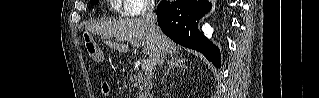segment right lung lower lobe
Instances as JSON below:
<instances>
[{"label": "right lung lower lobe", "instance_id": "98d812e1", "mask_svg": "<svg viewBox=\"0 0 319 98\" xmlns=\"http://www.w3.org/2000/svg\"><path fill=\"white\" fill-rule=\"evenodd\" d=\"M210 9L207 0L161 1L157 7L158 25L176 43L201 52L214 66L220 68L221 56L198 30V21Z\"/></svg>", "mask_w": 319, "mask_h": 98}]
</instances>
